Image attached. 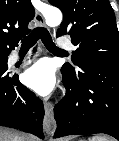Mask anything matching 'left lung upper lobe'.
I'll list each match as a JSON object with an SVG mask.
<instances>
[{
    "instance_id": "5c2ea615",
    "label": "left lung upper lobe",
    "mask_w": 119,
    "mask_h": 141,
    "mask_svg": "<svg viewBox=\"0 0 119 141\" xmlns=\"http://www.w3.org/2000/svg\"><path fill=\"white\" fill-rule=\"evenodd\" d=\"M63 12L57 37L70 35L77 47L72 62L63 65L71 74L82 67L108 64L119 66V34L114 11L108 0H49Z\"/></svg>"
}]
</instances>
